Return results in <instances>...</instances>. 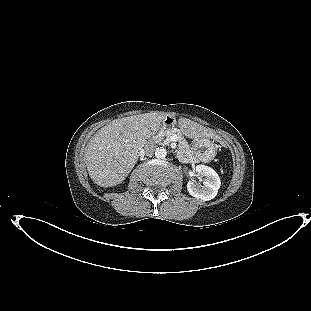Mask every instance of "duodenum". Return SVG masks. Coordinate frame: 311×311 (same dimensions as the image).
I'll return each instance as SVG.
<instances>
[{
	"mask_svg": "<svg viewBox=\"0 0 311 311\" xmlns=\"http://www.w3.org/2000/svg\"><path fill=\"white\" fill-rule=\"evenodd\" d=\"M173 124V120L171 118H166L164 121L165 126H171Z\"/></svg>",
	"mask_w": 311,
	"mask_h": 311,
	"instance_id": "410a0bca",
	"label": "duodenum"
}]
</instances>
